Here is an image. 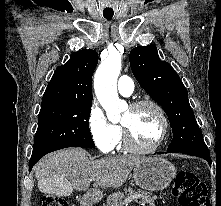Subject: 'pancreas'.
Listing matches in <instances>:
<instances>
[{"instance_id":"cf45deb5","label":"pancreas","mask_w":221,"mask_h":206,"mask_svg":"<svg viewBox=\"0 0 221 206\" xmlns=\"http://www.w3.org/2000/svg\"><path fill=\"white\" fill-rule=\"evenodd\" d=\"M139 195L142 206H155V198L144 194L143 192L132 191L131 189H124V192H116L109 195L106 204L103 206H123L126 199L131 196Z\"/></svg>"}]
</instances>
